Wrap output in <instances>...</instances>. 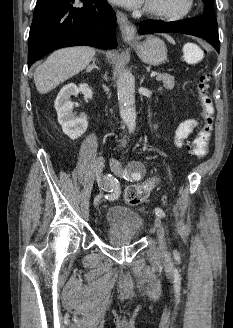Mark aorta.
Listing matches in <instances>:
<instances>
[{
	"instance_id": "aorta-1",
	"label": "aorta",
	"mask_w": 233,
	"mask_h": 328,
	"mask_svg": "<svg viewBox=\"0 0 233 328\" xmlns=\"http://www.w3.org/2000/svg\"><path fill=\"white\" fill-rule=\"evenodd\" d=\"M117 90L121 118L132 132L136 126L135 80L126 69L119 72Z\"/></svg>"
}]
</instances>
